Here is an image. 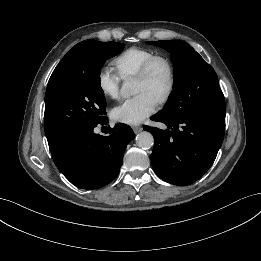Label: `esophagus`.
<instances>
[{
  "instance_id": "34e87169",
  "label": "esophagus",
  "mask_w": 261,
  "mask_h": 261,
  "mask_svg": "<svg viewBox=\"0 0 261 261\" xmlns=\"http://www.w3.org/2000/svg\"><path fill=\"white\" fill-rule=\"evenodd\" d=\"M132 129L135 134H138L143 130V128L141 126H133Z\"/></svg>"
}]
</instances>
